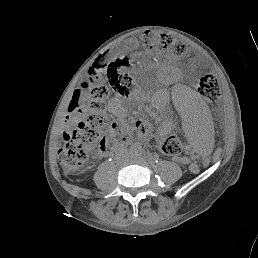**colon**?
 I'll list each match as a JSON object with an SVG mask.
<instances>
[{
  "label": "colon",
  "instance_id": "1",
  "mask_svg": "<svg viewBox=\"0 0 258 258\" xmlns=\"http://www.w3.org/2000/svg\"><path fill=\"white\" fill-rule=\"evenodd\" d=\"M144 46L153 49L168 50L174 55H180V45L174 42L168 34H146L143 37ZM126 64L118 59L100 57L94 61L83 79L81 86L74 93L71 109H82L81 126L73 132L62 146L59 159L65 174H75L80 170L90 152L106 150L120 143L121 136L103 133L106 123L105 109L108 97V84L123 96H129L134 89V82L126 71ZM198 91L208 101L217 102L220 98V87L217 78L206 74L198 83ZM134 133L137 137L149 142L155 148L168 156L181 153V142L176 136L159 138L151 130L150 125L138 121Z\"/></svg>",
  "mask_w": 258,
  "mask_h": 258
}]
</instances>
